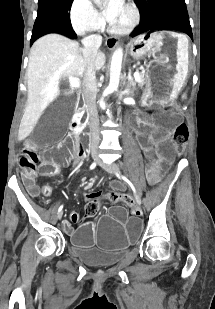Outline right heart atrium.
<instances>
[{
	"instance_id": "d8ad5b80",
	"label": "right heart atrium",
	"mask_w": 215,
	"mask_h": 309,
	"mask_svg": "<svg viewBox=\"0 0 215 309\" xmlns=\"http://www.w3.org/2000/svg\"><path fill=\"white\" fill-rule=\"evenodd\" d=\"M71 10V29L84 36L101 28V16L90 6L89 0H73Z\"/></svg>"
}]
</instances>
